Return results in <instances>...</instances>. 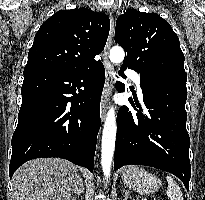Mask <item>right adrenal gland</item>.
Instances as JSON below:
<instances>
[{
  "instance_id": "obj_1",
  "label": "right adrenal gland",
  "mask_w": 205,
  "mask_h": 200,
  "mask_svg": "<svg viewBox=\"0 0 205 200\" xmlns=\"http://www.w3.org/2000/svg\"><path fill=\"white\" fill-rule=\"evenodd\" d=\"M84 190H85V188H84V181H83V179H80V189H79V191H78V194H77V197H76L75 200H77V198H79L80 195H81L82 193H84Z\"/></svg>"
}]
</instances>
